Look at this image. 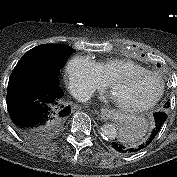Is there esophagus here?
<instances>
[{"label": "esophagus", "instance_id": "1", "mask_svg": "<svg viewBox=\"0 0 177 177\" xmlns=\"http://www.w3.org/2000/svg\"><path fill=\"white\" fill-rule=\"evenodd\" d=\"M111 115V111L107 108L101 109V117L105 119L106 117H109Z\"/></svg>", "mask_w": 177, "mask_h": 177}]
</instances>
